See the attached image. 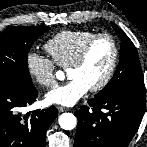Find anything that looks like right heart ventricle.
Masks as SVG:
<instances>
[{
	"mask_svg": "<svg viewBox=\"0 0 147 147\" xmlns=\"http://www.w3.org/2000/svg\"><path fill=\"white\" fill-rule=\"evenodd\" d=\"M96 33L88 30H65L45 43V49L55 64L67 68L77 57L84 44Z\"/></svg>",
	"mask_w": 147,
	"mask_h": 147,
	"instance_id": "e07e8e85",
	"label": "right heart ventricle"
}]
</instances>
